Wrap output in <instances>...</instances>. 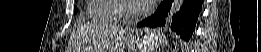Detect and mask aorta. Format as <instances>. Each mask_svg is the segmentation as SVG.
<instances>
[{
    "mask_svg": "<svg viewBox=\"0 0 261 52\" xmlns=\"http://www.w3.org/2000/svg\"><path fill=\"white\" fill-rule=\"evenodd\" d=\"M183 3H184V0H174V1L172 2L171 8H170V10L168 11V15H167V17H166V21H167L168 23L172 20L173 16H174L177 12L180 11V9H181Z\"/></svg>",
    "mask_w": 261,
    "mask_h": 52,
    "instance_id": "aorta-1",
    "label": "aorta"
}]
</instances>
